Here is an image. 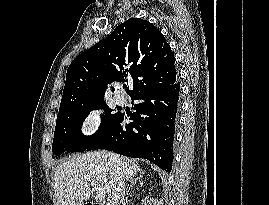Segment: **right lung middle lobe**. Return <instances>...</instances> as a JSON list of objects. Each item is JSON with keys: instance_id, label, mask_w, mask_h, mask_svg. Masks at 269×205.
<instances>
[{"instance_id": "right-lung-middle-lobe-1", "label": "right lung middle lobe", "mask_w": 269, "mask_h": 205, "mask_svg": "<svg viewBox=\"0 0 269 205\" xmlns=\"http://www.w3.org/2000/svg\"><path fill=\"white\" fill-rule=\"evenodd\" d=\"M104 109L106 116L102 117L99 130L91 136H84L81 132L82 124L89 112ZM121 113H114L104 102L89 106L79 112L57 118L52 150L55 155L62 152L85 151L99 139Z\"/></svg>"}]
</instances>
